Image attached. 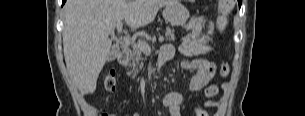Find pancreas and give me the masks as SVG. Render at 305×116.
I'll return each instance as SVG.
<instances>
[{
    "label": "pancreas",
    "mask_w": 305,
    "mask_h": 116,
    "mask_svg": "<svg viewBox=\"0 0 305 116\" xmlns=\"http://www.w3.org/2000/svg\"><path fill=\"white\" fill-rule=\"evenodd\" d=\"M165 36L170 41H175L174 30L170 29L169 27H167L166 29ZM143 42L146 41L143 40ZM129 59L131 60V63H129V65L133 67V72H138V67L143 66L142 51L137 48H133L129 51Z\"/></svg>",
    "instance_id": "cf45deb5"
}]
</instances>
